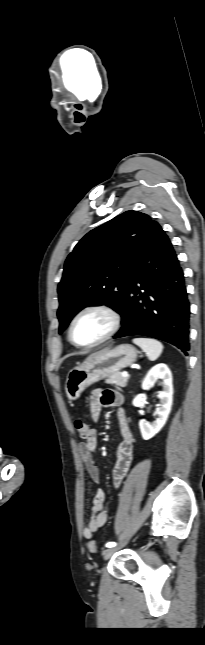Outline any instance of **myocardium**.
I'll return each instance as SVG.
<instances>
[{
  "label": "myocardium",
  "instance_id": "myocardium-1",
  "mask_svg": "<svg viewBox=\"0 0 205 645\" xmlns=\"http://www.w3.org/2000/svg\"><path fill=\"white\" fill-rule=\"evenodd\" d=\"M90 312H97V313L103 314L108 319L109 327L105 332V334L101 336L99 339L91 343H79L74 339V336H73V329H74L75 323L81 316ZM120 326H121V316L114 308L105 304H90L80 309L74 315V317L72 318L69 324L68 337L70 341L78 347L92 348L106 342L111 337H113L120 329Z\"/></svg>",
  "mask_w": 205,
  "mask_h": 645
}]
</instances>
